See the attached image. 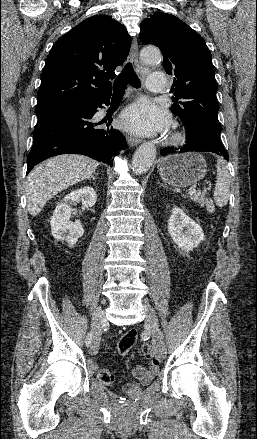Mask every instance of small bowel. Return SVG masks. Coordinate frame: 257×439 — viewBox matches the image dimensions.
Returning a JSON list of instances; mask_svg holds the SVG:
<instances>
[{
	"mask_svg": "<svg viewBox=\"0 0 257 439\" xmlns=\"http://www.w3.org/2000/svg\"><path fill=\"white\" fill-rule=\"evenodd\" d=\"M133 372L137 379L146 384L155 376L157 369L155 366H151L150 369L147 370L145 367L138 365L134 368Z\"/></svg>",
	"mask_w": 257,
	"mask_h": 439,
	"instance_id": "small-bowel-1",
	"label": "small bowel"
}]
</instances>
